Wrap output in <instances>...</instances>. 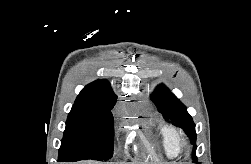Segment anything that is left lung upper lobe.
Here are the masks:
<instances>
[{
    "instance_id": "5c2ea615",
    "label": "left lung upper lobe",
    "mask_w": 251,
    "mask_h": 164,
    "mask_svg": "<svg viewBox=\"0 0 251 164\" xmlns=\"http://www.w3.org/2000/svg\"><path fill=\"white\" fill-rule=\"evenodd\" d=\"M151 99L156 104L160 113L179 124L190 137L191 142H196L195 124L191 116L188 114L186 107L165 85H159L151 95ZM193 157L195 159L193 162L199 164L196 160L195 151Z\"/></svg>"
}]
</instances>
